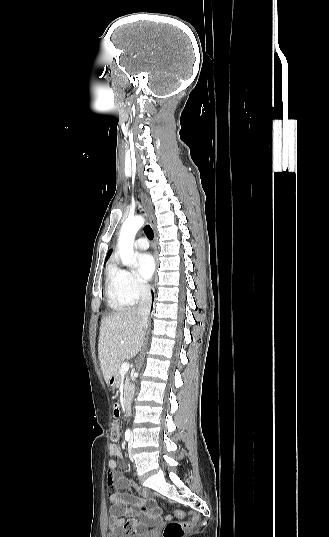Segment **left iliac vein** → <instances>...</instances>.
I'll return each instance as SVG.
<instances>
[{"label":"left iliac vein","instance_id":"obj_1","mask_svg":"<svg viewBox=\"0 0 329 537\" xmlns=\"http://www.w3.org/2000/svg\"><path fill=\"white\" fill-rule=\"evenodd\" d=\"M133 439H134V436H133V434H131V436H130V440H129V444H128V448H129V451H130V458H131V460H133V457H132V454H131L132 444H133Z\"/></svg>","mask_w":329,"mask_h":537}]
</instances>
